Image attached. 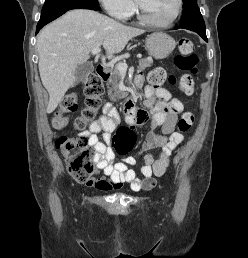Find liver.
<instances>
[{"instance_id":"6515ba94","label":"liver","mask_w":248,"mask_h":258,"mask_svg":"<svg viewBox=\"0 0 248 258\" xmlns=\"http://www.w3.org/2000/svg\"><path fill=\"white\" fill-rule=\"evenodd\" d=\"M144 30L123 25L92 10L77 9L42 29L37 38L39 72L49 93L47 113H52L76 80L78 65L103 45L107 57L120 53L130 39Z\"/></svg>"}]
</instances>
